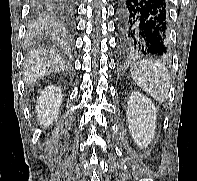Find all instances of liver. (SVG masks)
<instances>
[{
	"label": "liver",
	"mask_w": 197,
	"mask_h": 181,
	"mask_svg": "<svg viewBox=\"0 0 197 181\" xmlns=\"http://www.w3.org/2000/svg\"><path fill=\"white\" fill-rule=\"evenodd\" d=\"M65 64L53 50L34 51L24 66V82L32 84L45 75L64 70Z\"/></svg>",
	"instance_id": "6515ba94"
}]
</instances>
